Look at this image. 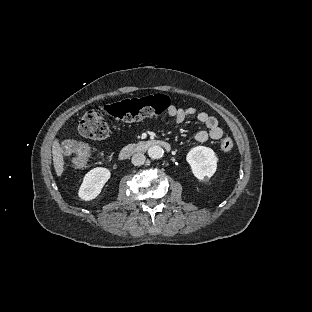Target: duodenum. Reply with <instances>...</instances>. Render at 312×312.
Returning <instances> with one entry per match:
<instances>
[{
    "label": "duodenum",
    "instance_id": "410a0bca",
    "mask_svg": "<svg viewBox=\"0 0 312 312\" xmlns=\"http://www.w3.org/2000/svg\"><path fill=\"white\" fill-rule=\"evenodd\" d=\"M156 146L162 147L167 151H171L172 149L170 142L164 139L151 138L126 145L121 150L119 157L124 160L137 152H145L146 150Z\"/></svg>",
    "mask_w": 312,
    "mask_h": 312
}]
</instances>
